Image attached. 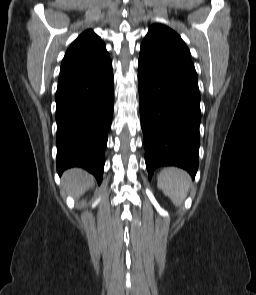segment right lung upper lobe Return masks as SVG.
<instances>
[{"label":"right lung upper lobe","instance_id":"1","mask_svg":"<svg viewBox=\"0 0 256 295\" xmlns=\"http://www.w3.org/2000/svg\"><path fill=\"white\" fill-rule=\"evenodd\" d=\"M110 60L105 44L92 30L82 33L67 50L60 76L89 68Z\"/></svg>","mask_w":256,"mask_h":295}]
</instances>
